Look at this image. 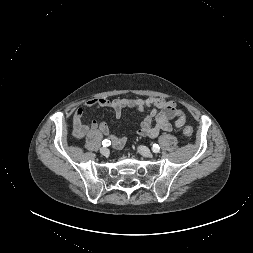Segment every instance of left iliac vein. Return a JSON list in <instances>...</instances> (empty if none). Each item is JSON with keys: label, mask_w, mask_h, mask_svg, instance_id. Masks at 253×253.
I'll list each match as a JSON object with an SVG mask.
<instances>
[{"label": "left iliac vein", "mask_w": 253, "mask_h": 253, "mask_svg": "<svg viewBox=\"0 0 253 253\" xmlns=\"http://www.w3.org/2000/svg\"><path fill=\"white\" fill-rule=\"evenodd\" d=\"M138 152L144 157H152V152L145 146H138Z\"/></svg>", "instance_id": "1"}]
</instances>
